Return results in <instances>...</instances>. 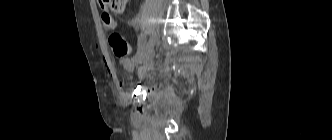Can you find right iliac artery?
Segmentation results:
<instances>
[{"label":"right iliac artery","instance_id":"obj_1","mask_svg":"<svg viewBox=\"0 0 332 140\" xmlns=\"http://www.w3.org/2000/svg\"><path fill=\"white\" fill-rule=\"evenodd\" d=\"M147 45V37L144 36L142 41H141V45H140V48H139V51L137 52V54L133 57V60L136 61L140 58V56L142 55L145 47Z\"/></svg>","mask_w":332,"mask_h":140}]
</instances>
